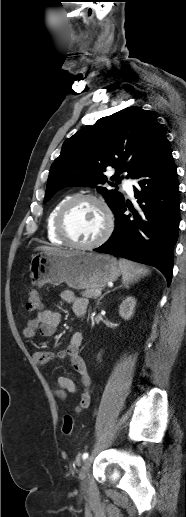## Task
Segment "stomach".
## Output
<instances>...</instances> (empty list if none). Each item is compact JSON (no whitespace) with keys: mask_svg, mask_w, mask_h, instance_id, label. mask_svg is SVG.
<instances>
[{"mask_svg":"<svg viewBox=\"0 0 186 517\" xmlns=\"http://www.w3.org/2000/svg\"><path fill=\"white\" fill-rule=\"evenodd\" d=\"M30 273L33 285L66 283L68 287L80 290L104 287L122 272L117 260L110 255L74 251L68 255L35 254Z\"/></svg>","mask_w":186,"mask_h":517,"instance_id":"1","label":"stomach"}]
</instances>
